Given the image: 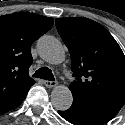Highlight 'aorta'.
Returning <instances> with one entry per match:
<instances>
[{
	"mask_svg": "<svg viewBox=\"0 0 125 125\" xmlns=\"http://www.w3.org/2000/svg\"><path fill=\"white\" fill-rule=\"evenodd\" d=\"M40 57L50 64H60L65 59L62 43L52 36H43L38 41ZM51 102L56 110L65 111L73 102L71 91L65 86H56L51 92Z\"/></svg>",
	"mask_w": 125,
	"mask_h": 125,
	"instance_id": "obj_1",
	"label": "aorta"
}]
</instances>
